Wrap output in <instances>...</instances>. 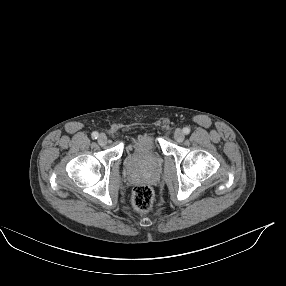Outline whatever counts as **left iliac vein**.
I'll list each match as a JSON object with an SVG mask.
<instances>
[{
  "instance_id": "left-iliac-vein-1",
  "label": "left iliac vein",
  "mask_w": 286,
  "mask_h": 286,
  "mask_svg": "<svg viewBox=\"0 0 286 286\" xmlns=\"http://www.w3.org/2000/svg\"><path fill=\"white\" fill-rule=\"evenodd\" d=\"M185 138V134L184 132L181 130V129H177L175 132H174V139L177 141V142H182Z\"/></svg>"
}]
</instances>
